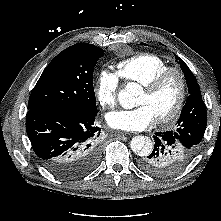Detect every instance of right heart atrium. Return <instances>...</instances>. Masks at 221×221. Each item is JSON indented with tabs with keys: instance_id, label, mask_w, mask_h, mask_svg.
Masks as SVG:
<instances>
[{
	"instance_id": "obj_1",
	"label": "right heart atrium",
	"mask_w": 221,
	"mask_h": 221,
	"mask_svg": "<svg viewBox=\"0 0 221 221\" xmlns=\"http://www.w3.org/2000/svg\"><path fill=\"white\" fill-rule=\"evenodd\" d=\"M119 91V78L107 70H101L96 77L94 95L98 104L104 109H112L116 105Z\"/></svg>"
}]
</instances>
